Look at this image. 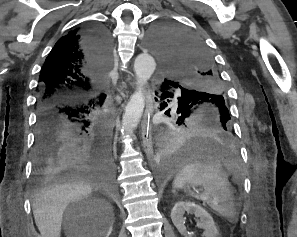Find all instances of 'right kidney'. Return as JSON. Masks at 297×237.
Returning <instances> with one entry per match:
<instances>
[{
    "instance_id": "1",
    "label": "right kidney",
    "mask_w": 297,
    "mask_h": 237,
    "mask_svg": "<svg viewBox=\"0 0 297 237\" xmlns=\"http://www.w3.org/2000/svg\"><path fill=\"white\" fill-rule=\"evenodd\" d=\"M111 232H112V227H110V228L108 229V231L106 232V234L104 235V237H109V235L111 234ZM87 236H91V237H99V236H101V234H100L99 232L95 231V232H93L91 235L88 234Z\"/></svg>"
}]
</instances>
